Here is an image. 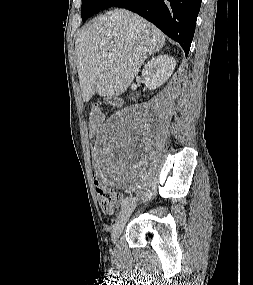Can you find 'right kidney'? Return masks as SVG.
Masks as SVG:
<instances>
[{
  "mask_svg": "<svg viewBox=\"0 0 253 285\" xmlns=\"http://www.w3.org/2000/svg\"><path fill=\"white\" fill-rule=\"evenodd\" d=\"M176 60L169 55L153 57L144 67L142 77L145 85L154 90L162 86L172 75Z\"/></svg>",
  "mask_w": 253,
  "mask_h": 285,
  "instance_id": "1",
  "label": "right kidney"
}]
</instances>
